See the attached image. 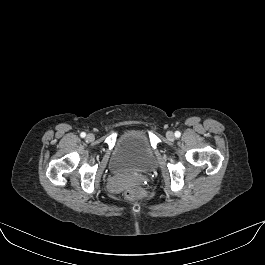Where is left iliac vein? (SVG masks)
Returning a JSON list of instances; mask_svg holds the SVG:
<instances>
[{"mask_svg":"<svg viewBox=\"0 0 265 265\" xmlns=\"http://www.w3.org/2000/svg\"><path fill=\"white\" fill-rule=\"evenodd\" d=\"M166 137L168 140H174L175 136H174V133L172 131H167L166 132Z\"/></svg>","mask_w":265,"mask_h":265,"instance_id":"left-iliac-vein-1","label":"left iliac vein"}]
</instances>
